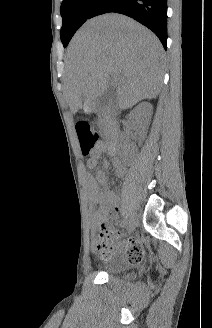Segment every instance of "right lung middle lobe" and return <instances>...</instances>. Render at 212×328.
Wrapping results in <instances>:
<instances>
[{
  "mask_svg": "<svg viewBox=\"0 0 212 328\" xmlns=\"http://www.w3.org/2000/svg\"><path fill=\"white\" fill-rule=\"evenodd\" d=\"M100 0H63L61 4V16L63 25L61 28V41L64 47L78 28L87 20L91 11Z\"/></svg>",
  "mask_w": 212,
  "mask_h": 328,
  "instance_id": "obj_1",
  "label": "right lung middle lobe"
}]
</instances>
